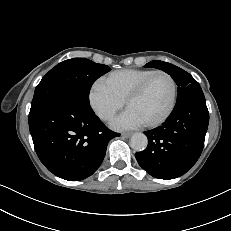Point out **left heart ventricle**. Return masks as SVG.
I'll return each mask as SVG.
<instances>
[{
  "label": "left heart ventricle",
  "mask_w": 231,
  "mask_h": 231,
  "mask_svg": "<svg viewBox=\"0 0 231 231\" xmlns=\"http://www.w3.org/2000/svg\"><path fill=\"white\" fill-rule=\"evenodd\" d=\"M171 99V81L168 77L158 74L150 80L143 93L129 103L127 109L147 123L160 118L167 111Z\"/></svg>",
  "instance_id": "1"
}]
</instances>
